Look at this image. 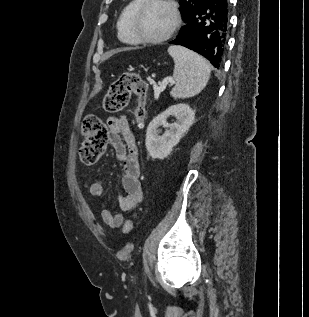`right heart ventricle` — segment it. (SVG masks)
<instances>
[{
    "label": "right heart ventricle",
    "instance_id": "right-heart-ventricle-1",
    "mask_svg": "<svg viewBox=\"0 0 309 317\" xmlns=\"http://www.w3.org/2000/svg\"><path fill=\"white\" fill-rule=\"evenodd\" d=\"M142 0H131L122 10L118 21L117 30L119 39L126 44H137L139 43L131 30V16L136 7L141 3Z\"/></svg>",
    "mask_w": 309,
    "mask_h": 317
}]
</instances>
